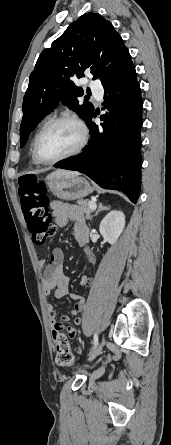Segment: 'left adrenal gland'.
Segmentation results:
<instances>
[{"mask_svg": "<svg viewBox=\"0 0 171 445\" xmlns=\"http://www.w3.org/2000/svg\"><path fill=\"white\" fill-rule=\"evenodd\" d=\"M108 207L103 206L102 203L99 204L97 211L95 212V215L99 214V212L103 211V210H108ZM94 215V216H95Z\"/></svg>", "mask_w": 171, "mask_h": 445, "instance_id": "left-adrenal-gland-1", "label": "left adrenal gland"}]
</instances>
